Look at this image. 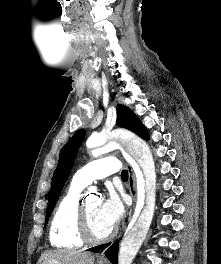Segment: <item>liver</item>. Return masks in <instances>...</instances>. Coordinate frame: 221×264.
Segmentation results:
<instances>
[{"label": "liver", "instance_id": "liver-1", "mask_svg": "<svg viewBox=\"0 0 221 264\" xmlns=\"http://www.w3.org/2000/svg\"><path fill=\"white\" fill-rule=\"evenodd\" d=\"M95 258L88 252L53 250L44 251L37 264H94Z\"/></svg>", "mask_w": 221, "mask_h": 264}]
</instances>
